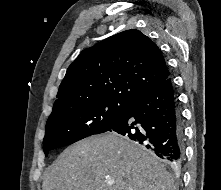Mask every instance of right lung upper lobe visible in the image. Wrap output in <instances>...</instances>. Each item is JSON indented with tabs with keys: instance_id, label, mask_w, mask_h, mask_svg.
Wrapping results in <instances>:
<instances>
[{
	"instance_id": "cb5924a9",
	"label": "right lung upper lobe",
	"mask_w": 221,
	"mask_h": 190,
	"mask_svg": "<svg viewBox=\"0 0 221 190\" xmlns=\"http://www.w3.org/2000/svg\"><path fill=\"white\" fill-rule=\"evenodd\" d=\"M170 76L158 46L138 30H127L83 50L67 69L53 111L80 102H129Z\"/></svg>"
}]
</instances>
